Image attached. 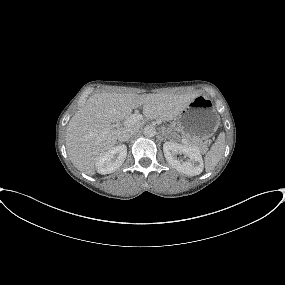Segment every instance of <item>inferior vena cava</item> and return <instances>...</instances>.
I'll list each match as a JSON object with an SVG mask.
<instances>
[{"mask_svg": "<svg viewBox=\"0 0 285 285\" xmlns=\"http://www.w3.org/2000/svg\"><path fill=\"white\" fill-rule=\"evenodd\" d=\"M136 131L137 130L135 128L123 127L118 132V140L121 142H126L134 135Z\"/></svg>", "mask_w": 285, "mask_h": 285, "instance_id": "602c4592", "label": "inferior vena cava"}]
</instances>
